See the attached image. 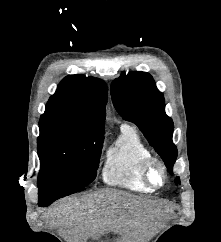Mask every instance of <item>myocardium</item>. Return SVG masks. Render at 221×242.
<instances>
[{
    "label": "myocardium",
    "mask_w": 221,
    "mask_h": 242,
    "mask_svg": "<svg viewBox=\"0 0 221 242\" xmlns=\"http://www.w3.org/2000/svg\"><path fill=\"white\" fill-rule=\"evenodd\" d=\"M154 168H157L161 173L162 180L160 184H156L152 179L151 172ZM141 174L144 181L152 189L162 188L166 184L168 177V172L165 163L155 156H150L142 163Z\"/></svg>",
    "instance_id": "1"
}]
</instances>
